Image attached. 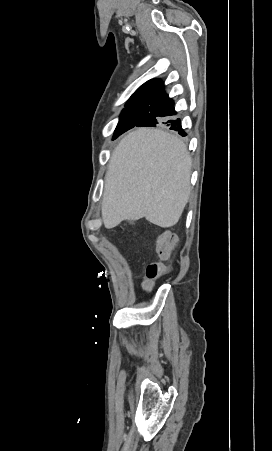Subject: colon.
<instances>
[{"mask_svg":"<svg viewBox=\"0 0 272 451\" xmlns=\"http://www.w3.org/2000/svg\"><path fill=\"white\" fill-rule=\"evenodd\" d=\"M161 243L159 244V251L162 256H167L168 258L172 257V254L169 253V249L175 245H177V236L175 234H170L169 232H165L164 236L161 238ZM172 269V264L170 262H165L163 264V269L157 263H150L145 267V275L144 274H136L133 277V280L136 283H145V286L148 289H152L155 286V283H158L159 278H164L166 276V271H170Z\"/></svg>","mask_w":272,"mask_h":451,"instance_id":"5ec220e1","label":"colon"}]
</instances>
